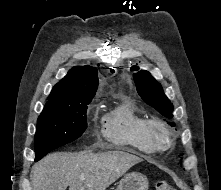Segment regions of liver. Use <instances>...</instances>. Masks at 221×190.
Segmentation results:
<instances>
[{"label":"liver","mask_w":221,"mask_h":190,"mask_svg":"<svg viewBox=\"0 0 221 190\" xmlns=\"http://www.w3.org/2000/svg\"><path fill=\"white\" fill-rule=\"evenodd\" d=\"M142 162L124 151L55 152L33 165V190H106L132 166Z\"/></svg>","instance_id":"6515ba94"}]
</instances>
